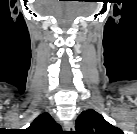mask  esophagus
<instances>
[{
    "instance_id": "1",
    "label": "esophagus",
    "mask_w": 137,
    "mask_h": 134,
    "mask_svg": "<svg viewBox=\"0 0 137 134\" xmlns=\"http://www.w3.org/2000/svg\"><path fill=\"white\" fill-rule=\"evenodd\" d=\"M64 129L66 131H74V123L72 121L66 122L64 124Z\"/></svg>"
}]
</instances>
